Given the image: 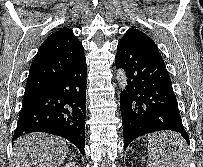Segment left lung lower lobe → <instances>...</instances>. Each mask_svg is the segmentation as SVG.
Instances as JSON below:
<instances>
[{"instance_id": "obj_1", "label": "left lung lower lobe", "mask_w": 203, "mask_h": 167, "mask_svg": "<svg viewBox=\"0 0 203 167\" xmlns=\"http://www.w3.org/2000/svg\"><path fill=\"white\" fill-rule=\"evenodd\" d=\"M115 63L127 76L120 95L124 149L135 138L160 130L178 132L189 143L163 59L120 40Z\"/></svg>"}]
</instances>
